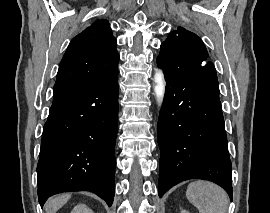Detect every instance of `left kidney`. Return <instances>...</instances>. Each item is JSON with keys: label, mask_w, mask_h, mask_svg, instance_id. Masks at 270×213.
Returning a JSON list of instances; mask_svg holds the SVG:
<instances>
[{"label": "left kidney", "mask_w": 270, "mask_h": 213, "mask_svg": "<svg viewBox=\"0 0 270 213\" xmlns=\"http://www.w3.org/2000/svg\"><path fill=\"white\" fill-rule=\"evenodd\" d=\"M181 213H189V212H187V211H185V210H182Z\"/></svg>", "instance_id": "left-kidney-1"}]
</instances>
